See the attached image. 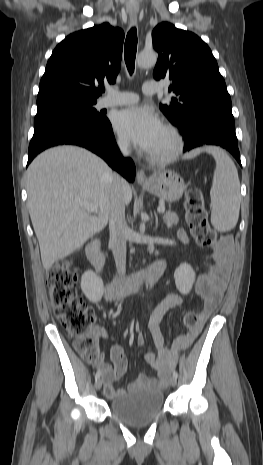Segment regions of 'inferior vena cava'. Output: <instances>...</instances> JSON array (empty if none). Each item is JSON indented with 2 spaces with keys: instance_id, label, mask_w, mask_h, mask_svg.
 <instances>
[{
  "instance_id": "1",
  "label": "inferior vena cava",
  "mask_w": 263,
  "mask_h": 465,
  "mask_svg": "<svg viewBox=\"0 0 263 465\" xmlns=\"http://www.w3.org/2000/svg\"><path fill=\"white\" fill-rule=\"evenodd\" d=\"M119 148L124 156L129 154V146L127 142H120ZM127 185L128 183L125 179L119 175H115L113 180L112 201L109 216V245L112 248L117 272L121 278H124L126 273L127 224L125 221L123 191Z\"/></svg>"
}]
</instances>
